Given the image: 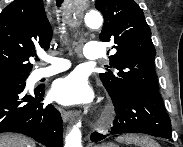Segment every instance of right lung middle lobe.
Returning <instances> with one entry per match:
<instances>
[{
    "mask_svg": "<svg viewBox=\"0 0 183 147\" xmlns=\"http://www.w3.org/2000/svg\"><path fill=\"white\" fill-rule=\"evenodd\" d=\"M26 79H27V77L12 79V80H8V81H5V82H0V85L5 84V83H10V82H25Z\"/></svg>",
    "mask_w": 183,
    "mask_h": 147,
    "instance_id": "obj_1",
    "label": "right lung middle lobe"
}]
</instances>
